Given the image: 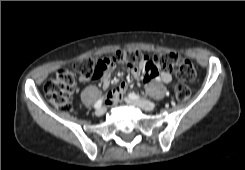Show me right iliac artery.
<instances>
[{"label":"right iliac artery","mask_w":245,"mask_h":170,"mask_svg":"<svg viewBox=\"0 0 245 170\" xmlns=\"http://www.w3.org/2000/svg\"><path fill=\"white\" fill-rule=\"evenodd\" d=\"M101 105H102V99H99V100L95 103L94 107H95L96 109H98V108L101 107Z\"/></svg>","instance_id":"right-iliac-artery-1"}]
</instances>
